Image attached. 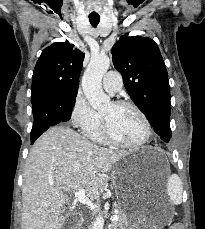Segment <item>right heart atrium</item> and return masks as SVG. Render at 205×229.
<instances>
[{
    "instance_id": "1",
    "label": "right heart atrium",
    "mask_w": 205,
    "mask_h": 229,
    "mask_svg": "<svg viewBox=\"0 0 205 229\" xmlns=\"http://www.w3.org/2000/svg\"><path fill=\"white\" fill-rule=\"evenodd\" d=\"M70 121L73 126L84 132L93 128L100 121L99 113L92 108L81 92H78L73 100Z\"/></svg>"
}]
</instances>
